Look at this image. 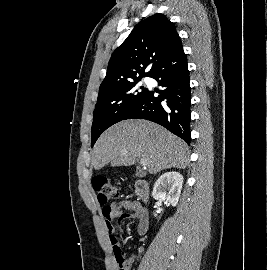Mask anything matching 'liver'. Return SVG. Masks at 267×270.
<instances>
[{
  "mask_svg": "<svg viewBox=\"0 0 267 270\" xmlns=\"http://www.w3.org/2000/svg\"><path fill=\"white\" fill-rule=\"evenodd\" d=\"M189 147L163 127L146 120H125L108 128L93 149L95 170L112 166H131L139 158L150 174L164 169H184Z\"/></svg>",
  "mask_w": 267,
  "mask_h": 270,
  "instance_id": "liver-1",
  "label": "liver"
}]
</instances>
